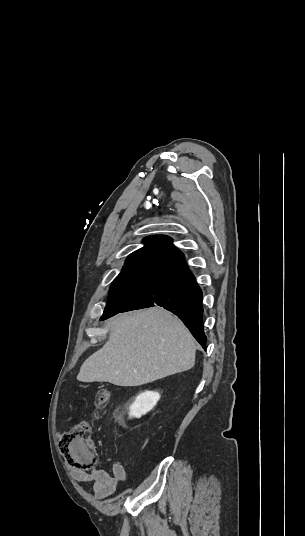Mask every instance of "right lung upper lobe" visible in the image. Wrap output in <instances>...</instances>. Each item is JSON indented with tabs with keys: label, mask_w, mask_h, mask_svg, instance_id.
I'll return each mask as SVG.
<instances>
[{
	"label": "right lung upper lobe",
	"mask_w": 305,
	"mask_h": 536,
	"mask_svg": "<svg viewBox=\"0 0 305 536\" xmlns=\"http://www.w3.org/2000/svg\"><path fill=\"white\" fill-rule=\"evenodd\" d=\"M145 246L131 253L117 277L159 276L168 277L188 268L181 251L167 236L146 237Z\"/></svg>",
	"instance_id": "1"
}]
</instances>
